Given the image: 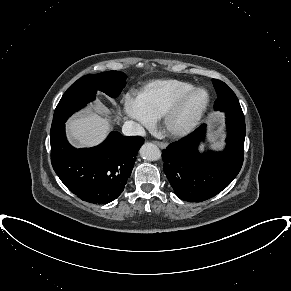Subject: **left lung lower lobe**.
<instances>
[{"label": "left lung lower lobe", "mask_w": 291, "mask_h": 291, "mask_svg": "<svg viewBox=\"0 0 291 291\" xmlns=\"http://www.w3.org/2000/svg\"><path fill=\"white\" fill-rule=\"evenodd\" d=\"M226 126L229 133L223 152H198V144L205 136V124L163 150V170L180 199L189 202L208 199L238 175L244 158V115L226 112Z\"/></svg>", "instance_id": "0a47b994"}]
</instances>
